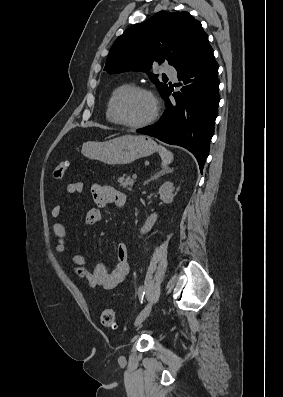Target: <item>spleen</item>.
Masks as SVG:
<instances>
[{
	"label": "spleen",
	"instance_id": "obj_1",
	"mask_svg": "<svg viewBox=\"0 0 283 397\" xmlns=\"http://www.w3.org/2000/svg\"><path fill=\"white\" fill-rule=\"evenodd\" d=\"M158 152L162 160V167L167 168L168 165L173 161V154L169 150H167L165 147L159 145L158 146Z\"/></svg>",
	"mask_w": 283,
	"mask_h": 397
}]
</instances>
